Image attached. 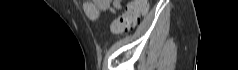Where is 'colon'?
Segmentation results:
<instances>
[{"instance_id":"obj_1","label":"colon","mask_w":238,"mask_h":70,"mask_svg":"<svg viewBox=\"0 0 238 70\" xmlns=\"http://www.w3.org/2000/svg\"><path fill=\"white\" fill-rule=\"evenodd\" d=\"M148 8L147 0H134L128 3L126 11L113 23L115 32H129L139 23L140 14ZM89 14L96 16V11L89 7Z\"/></svg>"}]
</instances>
